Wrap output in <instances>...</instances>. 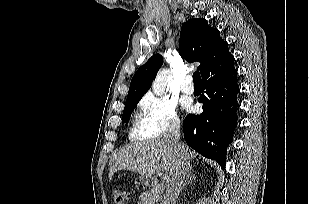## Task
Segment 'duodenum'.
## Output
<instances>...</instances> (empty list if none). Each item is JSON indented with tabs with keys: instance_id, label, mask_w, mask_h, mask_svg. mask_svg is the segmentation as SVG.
<instances>
[{
	"instance_id": "obj_1",
	"label": "duodenum",
	"mask_w": 309,
	"mask_h": 204,
	"mask_svg": "<svg viewBox=\"0 0 309 204\" xmlns=\"http://www.w3.org/2000/svg\"><path fill=\"white\" fill-rule=\"evenodd\" d=\"M148 182L153 187H157L158 186V182L156 180H154V179H150Z\"/></svg>"
}]
</instances>
